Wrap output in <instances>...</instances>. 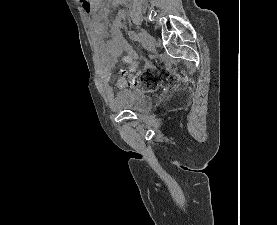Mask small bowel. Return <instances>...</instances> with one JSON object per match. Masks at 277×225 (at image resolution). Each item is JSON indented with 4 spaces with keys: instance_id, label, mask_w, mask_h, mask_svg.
I'll list each match as a JSON object with an SVG mask.
<instances>
[{
    "instance_id": "c3829d8e",
    "label": "small bowel",
    "mask_w": 277,
    "mask_h": 225,
    "mask_svg": "<svg viewBox=\"0 0 277 225\" xmlns=\"http://www.w3.org/2000/svg\"><path fill=\"white\" fill-rule=\"evenodd\" d=\"M111 8L124 2V0H111ZM83 6L87 12L92 15L89 20V28L93 36L95 45L99 52L101 61L104 64V91L110 103H114L116 96L112 88L109 86L108 81L110 79V67L113 65L115 59L122 53L129 55L133 59L130 70L135 71L137 69V63L135 61L136 55L132 48L125 42L122 36V18L115 19L110 29L111 38L105 42L107 34V16L110 13L111 8H103L98 14L94 13L93 7L88 5L86 2ZM118 86L123 88L125 86V80L120 78L118 80ZM115 104V103H114Z\"/></svg>"
}]
</instances>
